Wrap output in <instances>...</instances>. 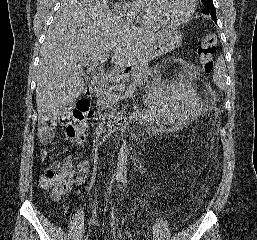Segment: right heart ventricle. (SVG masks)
<instances>
[{"mask_svg":"<svg viewBox=\"0 0 257 240\" xmlns=\"http://www.w3.org/2000/svg\"><path fill=\"white\" fill-rule=\"evenodd\" d=\"M128 5L133 11V20L140 26L156 28L161 25L149 13L146 0H130Z\"/></svg>","mask_w":257,"mask_h":240,"instance_id":"e07e8e85","label":"right heart ventricle"}]
</instances>
